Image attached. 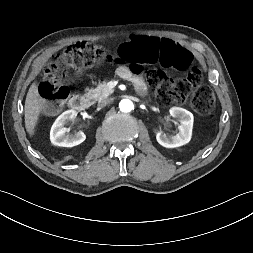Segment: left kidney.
<instances>
[{
    "instance_id": "5707ae66",
    "label": "left kidney",
    "mask_w": 253,
    "mask_h": 253,
    "mask_svg": "<svg viewBox=\"0 0 253 253\" xmlns=\"http://www.w3.org/2000/svg\"><path fill=\"white\" fill-rule=\"evenodd\" d=\"M170 115L177 118L180 122L178 127L179 132L174 135H166L162 131L156 132L157 142L166 148H176L183 146L191 140L192 128H193V114L184 108L172 107L170 110Z\"/></svg>"
}]
</instances>
